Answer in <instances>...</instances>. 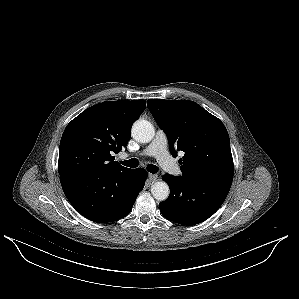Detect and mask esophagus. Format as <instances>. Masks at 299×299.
<instances>
[{
	"label": "esophagus",
	"mask_w": 299,
	"mask_h": 299,
	"mask_svg": "<svg viewBox=\"0 0 299 299\" xmlns=\"http://www.w3.org/2000/svg\"><path fill=\"white\" fill-rule=\"evenodd\" d=\"M158 178L157 174H149L148 180L149 182H154Z\"/></svg>",
	"instance_id": "obj_1"
}]
</instances>
